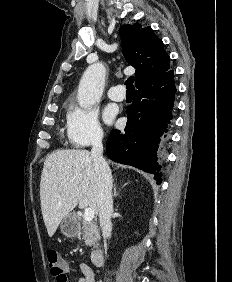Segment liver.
I'll return each instance as SVG.
<instances>
[{"label": "liver", "mask_w": 232, "mask_h": 282, "mask_svg": "<svg viewBox=\"0 0 232 282\" xmlns=\"http://www.w3.org/2000/svg\"><path fill=\"white\" fill-rule=\"evenodd\" d=\"M40 201L49 237L78 204L99 213L97 178L90 152L73 149L50 154L41 175Z\"/></svg>", "instance_id": "1"}]
</instances>
